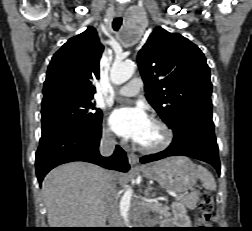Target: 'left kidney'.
<instances>
[{
	"label": "left kidney",
	"instance_id": "5707ae66",
	"mask_svg": "<svg viewBox=\"0 0 252 231\" xmlns=\"http://www.w3.org/2000/svg\"><path fill=\"white\" fill-rule=\"evenodd\" d=\"M173 218L168 219L166 222L170 226H175L176 228H190L191 220L187 216L186 208L178 202L172 204Z\"/></svg>",
	"mask_w": 252,
	"mask_h": 231
}]
</instances>
